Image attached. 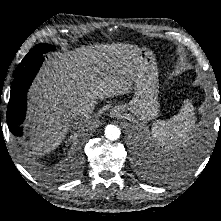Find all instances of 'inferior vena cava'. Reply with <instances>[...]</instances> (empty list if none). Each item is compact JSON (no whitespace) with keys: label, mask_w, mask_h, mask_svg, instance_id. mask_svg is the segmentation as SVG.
I'll list each match as a JSON object with an SVG mask.
<instances>
[{"label":"inferior vena cava","mask_w":221,"mask_h":221,"mask_svg":"<svg viewBox=\"0 0 221 221\" xmlns=\"http://www.w3.org/2000/svg\"><path fill=\"white\" fill-rule=\"evenodd\" d=\"M94 108H95V104L93 101L84 100V101L79 102L74 107V112L79 116L87 117L93 113Z\"/></svg>","instance_id":"obj_1"}]
</instances>
